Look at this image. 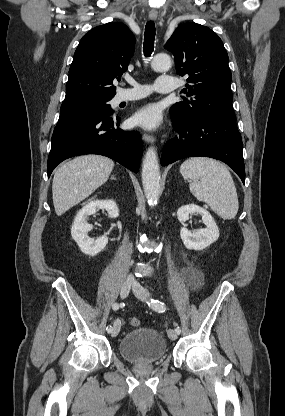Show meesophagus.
Here are the masks:
<instances>
[{"instance_id":"esophagus-1","label":"esophagus","mask_w":285,"mask_h":416,"mask_svg":"<svg viewBox=\"0 0 285 416\" xmlns=\"http://www.w3.org/2000/svg\"><path fill=\"white\" fill-rule=\"evenodd\" d=\"M158 15V12H149V19L150 20H156ZM143 140L147 143H154L155 137L152 135H148L147 133H144L142 136Z\"/></svg>"}]
</instances>
